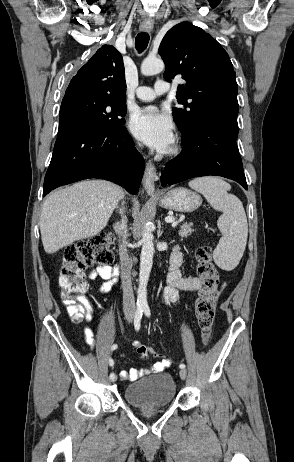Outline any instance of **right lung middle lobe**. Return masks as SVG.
I'll use <instances>...</instances> for the list:
<instances>
[{"label": "right lung middle lobe", "mask_w": 294, "mask_h": 462, "mask_svg": "<svg viewBox=\"0 0 294 462\" xmlns=\"http://www.w3.org/2000/svg\"><path fill=\"white\" fill-rule=\"evenodd\" d=\"M125 99L77 95L62 100L58 136L79 130H99L124 123Z\"/></svg>", "instance_id": "right-lung-middle-lobe-1"}]
</instances>
